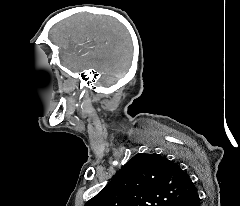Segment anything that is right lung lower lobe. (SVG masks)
<instances>
[{
    "instance_id": "obj_1",
    "label": "right lung lower lobe",
    "mask_w": 240,
    "mask_h": 206,
    "mask_svg": "<svg viewBox=\"0 0 240 206\" xmlns=\"http://www.w3.org/2000/svg\"><path fill=\"white\" fill-rule=\"evenodd\" d=\"M171 206H200V199L197 191H195L192 195L189 197H186L184 199H181Z\"/></svg>"
}]
</instances>
